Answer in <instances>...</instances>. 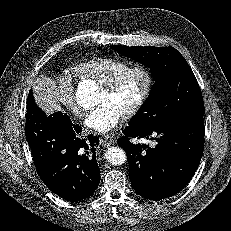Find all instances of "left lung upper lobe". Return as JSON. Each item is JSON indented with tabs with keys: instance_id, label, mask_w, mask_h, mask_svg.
<instances>
[{
	"instance_id": "obj_1",
	"label": "left lung upper lobe",
	"mask_w": 231,
	"mask_h": 231,
	"mask_svg": "<svg viewBox=\"0 0 231 231\" xmlns=\"http://www.w3.org/2000/svg\"><path fill=\"white\" fill-rule=\"evenodd\" d=\"M113 49L148 65L155 80L151 95L128 127L169 126L204 116L199 84L177 49L122 45H114Z\"/></svg>"
}]
</instances>
